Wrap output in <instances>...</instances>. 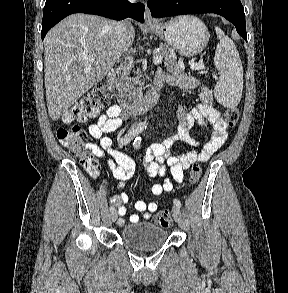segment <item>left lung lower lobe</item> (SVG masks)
<instances>
[{
	"mask_svg": "<svg viewBox=\"0 0 288 293\" xmlns=\"http://www.w3.org/2000/svg\"><path fill=\"white\" fill-rule=\"evenodd\" d=\"M147 6L152 17L156 18L183 14H219L232 22L239 35L247 41L244 8L240 0H150Z\"/></svg>",
	"mask_w": 288,
	"mask_h": 293,
	"instance_id": "obj_1",
	"label": "left lung lower lobe"
}]
</instances>
